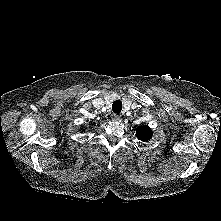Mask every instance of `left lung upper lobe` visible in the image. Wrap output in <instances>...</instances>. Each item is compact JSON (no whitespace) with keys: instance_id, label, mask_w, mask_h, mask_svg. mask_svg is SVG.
I'll use <instances>...</instances> for the list:
<instances>
[{"instance_id":"obj_1","label":"left lung upper lobe","mask_w":221,"mask_h":221,"mask_svg":"<svg viewBox=\"0 0 221 221\" xmlns=\"http://www.w3.org/2000/svg\"><path fill=\"white\" fill-rule=\"evenodd\" d=\"M137 136L141 141H148L152 137V131L148 126H141L137 129Z\"/></svg>"}]
</instances>
